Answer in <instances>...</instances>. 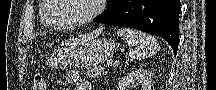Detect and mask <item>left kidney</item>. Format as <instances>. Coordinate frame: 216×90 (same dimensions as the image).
Listing matches in <instances>:
<instances>
[{
  "label": "left kidney",
  "mask_w": 216,
  "mask_h": 90,
  "mask_svg": "<svg viewBox=\"0 0 216 90\" xmlns=\"http://www.w3.org/2000/svg\"><path fill=\"white\" fill-rule=\"evenodd\" d=\"M150 80L151 72L135 70L120 80L117 90H151Z\"/></svg>",
  "instance_id": "5707ae66"
}]
</instances>
